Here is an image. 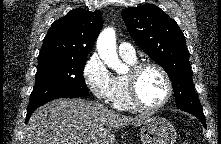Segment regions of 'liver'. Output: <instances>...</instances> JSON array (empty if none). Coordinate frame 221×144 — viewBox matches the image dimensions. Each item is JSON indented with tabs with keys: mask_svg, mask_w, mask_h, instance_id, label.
<instances>
[{
	"mask_svg": "<svg viewBox=\"0 0 221 144\" xmlns=\"http://www.w3.org/2000/svg\"><path fill=\"white\" fill-rule=\"evenodd\" d=\"M150 117L125 116L83 99H56L39 107L23 133L24 144H114L113 130L140 126Z\"/></svg>",
	"mask_w": 221,
	"mask_h": 144,
	"instance_id": "obj_1",
	"label": "liver"
}]
</instances>
